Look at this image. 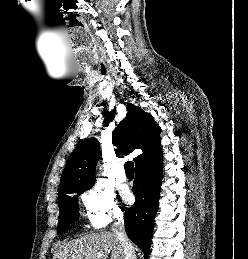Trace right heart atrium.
<instances>
[{"mask_svg":"<svg viewBox=\"0 0 248 259\" xmlns=\"http://www.w3.org/2000/svg\"><path fill=\"white\" fill-rule=\"evenodd\" d=\"M82 203L89 224L103 228L122 217L114 193L100 184H94L82 194Z\"/></svg>","mask_w":248,"mask_h":259,"instance_id":"d8ad5b80","label":"right heart atrium"}]
</instances>
